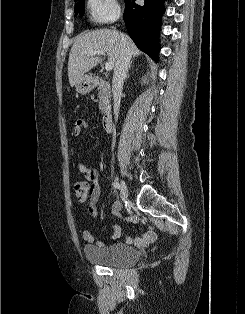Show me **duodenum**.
<instances>
[{
  "label": "duodenum",
  "instance_id": "410a0bca",
  "mask_svg": "<svg viewBox=\"0 0 245 314\" xmlns=\"http://www.w3.org/2000/svg\"><path fill=\"white\" fill-rule=\"evenodd\" d=\"M103 127L106 132H111L113 128V116L110 111H108L103 117Z\"/></svg>",
  "mask_w": 245,
  "mask_h": 314
}]
</instances>
